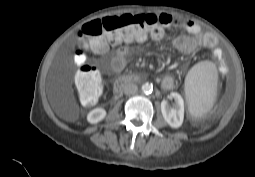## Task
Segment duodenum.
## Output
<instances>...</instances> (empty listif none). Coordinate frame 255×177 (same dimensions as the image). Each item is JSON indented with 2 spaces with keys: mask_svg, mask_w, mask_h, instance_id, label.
Here are the masks:
<instances>
[{
  "mask_svg": "<svg viewBox=\"0 0 255 177\" xmlns=\"http://www.w3.org/2000/svg\"><path fill=\"white\" fill-rule=\"evenodd\" d=\"M138 79L139 78L135 75L120 76L115 80L113 88L116 92H119L125 85L136 82Z\"/></svg>",
  "mask_w": 255,
  "mask_h": 177,
  "instance_id": "obj_1",
  "label": "duodenum"
}]
</instances>
